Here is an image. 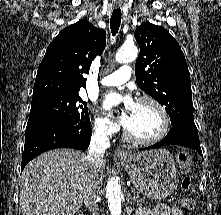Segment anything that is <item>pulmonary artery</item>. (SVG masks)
<instances>
[{"label": "pulmonary artery", "instance_id": "1", "mask_svg": "<svg viewBox=\"0 0 221 215\" xmlns=\"http://www.w3.org/2000/svg\"><path fill=\"white\" fill-rule=\"evenodd\" d=\"M132 69L130 66H122L117 71L103 77L100 84L103 86H117L125 83L131 77Z\"/></svg>", "mask_w": 221, "mask_h": 215}]
</instances>
